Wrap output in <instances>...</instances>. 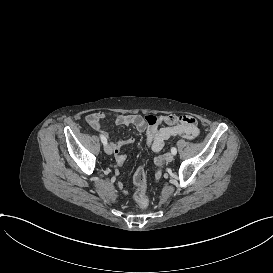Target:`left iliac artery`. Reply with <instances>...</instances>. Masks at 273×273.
Listing matches in <instances>:
<instances>
[{
	"mask_svg": "<svg viewBox=\"0 0 273 273\" xmlns=\"http://www.w3.org/2000/svg\"><path fill=\"white\" fill-rule=\"evenodd\" d=\"M171 153H172L173 155H175V154L177 153V150H176L175 147H172V148H171Z\"/></svg>",
	"mask_w": 273,
	"mask_h": 273,
	"instance_id": "obj_1",
	"label": "left iliac artery"
}]
</instances>
